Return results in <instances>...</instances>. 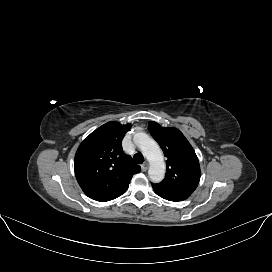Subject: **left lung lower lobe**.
Returning <instances> with one entry per match:
<instances>
[{
    "label": "left lung lower lobe",
    "instance_id": "1",
    "mask_svg": "<svg viewBox=\"0 0 272 272\" xmlns=\"http://www.w3.org/2000/svg\"><path fill=\"white\" fill-rule=\"evenodd\" d=\"M155 193H156V192H155ZM156 194L159 195L160 197L166 199V200H169V201H175V202L182 201V200L174 199V198H171V197H168V196L159 194V193H156Z\"/></svg>",
    "mask_w": 272,
    "mask_h": 272
}]
</instances>
